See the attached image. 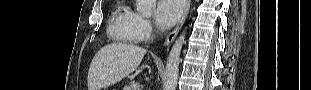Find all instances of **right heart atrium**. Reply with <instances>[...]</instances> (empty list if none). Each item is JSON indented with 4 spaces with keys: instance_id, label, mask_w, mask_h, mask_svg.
Wrapping results in <instances>:
<instances>
[{
    "instance_id": "d8ad5b80",
    "label": "right heart atrium",
    "mask_w": 311,
    "mask_h": 90,
    "mask_svg": "<svg viewBox=\"0 0 311 90\" xmlns=\"http://www.w3.org/2000/svg\"><path fill=\"white\" fill-rule=\"evenodd\" d=\"M133 25L138 40H145L152 34L151 21L139 13L133 12Z\"/></svg>"
}]
</instances>
